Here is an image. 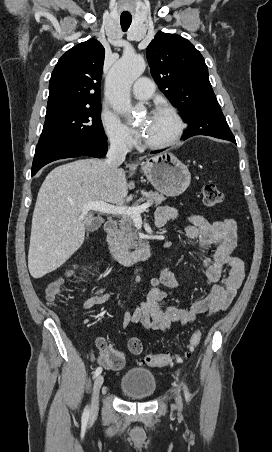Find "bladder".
Returning <instances> with one entry per match:
<instances>
[{
	"mask_svg": "<svg viewBox=\"0 0 272 452\" xmlns=\"http://www.w3.org/2000/svg\"><path fill=\"white\" fill-rule=\"evenodd\" d=\"M119 389L130 399H147L157 391V381L152 371L132 367L124 372L120 379Z\"/></svg>",
	"mask_w": 272,
	"mask_h": 452,
	"instance_id": "31cf9c89",
	"label": "bladder"
}]
</instances>
